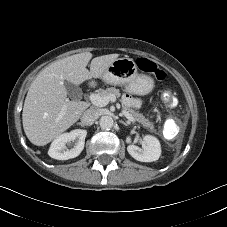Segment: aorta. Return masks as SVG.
<instances>
[{
	"label": "aorta",
	"instance_id": "762f6f07",
	"mask_svg": "<svg viewBox=\"0 0 227 227\" xmlns=\"http://www.w3.org/2000/svg\"><path fill=\"white\" fill-rule=\"evenodd\" d=\"M100 127L104 130H110L114 125V120L111 116H102L99 120Z\"/></svg>",
	"mask_w": 227,
	"mask_h": 227
}]
</instances>
